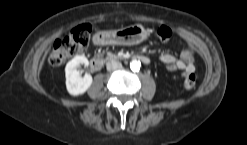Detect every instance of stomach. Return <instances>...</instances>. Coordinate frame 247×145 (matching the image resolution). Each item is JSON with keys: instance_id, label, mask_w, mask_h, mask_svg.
I'll return each mask as SVG.
<instances>
[{"instance_id": "1", "label": "stomach", "mask_w": 247, "mask_h": 145, "mask_svg": "<svg viewBox=\"0 0 247 145\" xmlns=\"http://www.w3.org/2000/svg\"><path fill=\"white\" fill-rule=\"evenodd\" d=\"M99 34L103 37V44L135 45L146 40L149 31L142 25L135 24L117 30L102 31Z\"/></svg>"}]
</instances>
